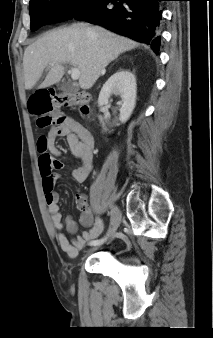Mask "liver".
Instances as JSON below:
<instances>
[{
  "label": "liver",
  "instance_id": "6515ba94",
  "mask_svg": "<svg viewBox=\"0 0 213 338\" xmlns=\"http://www.w3.org/2000/svg\"><path fill=\"white\" fill-rule=\"evenodd\" d=\"M138 46L131 39L84 23L47 32L24 52L25 88L32 89L48 66L40 88L58 83L64 74L63 65L69 63L80 71V87L90 89L111 61Z\"/></svg>",
  "mask_w": 213,
  "mask_h": 338
}]
</instances>
